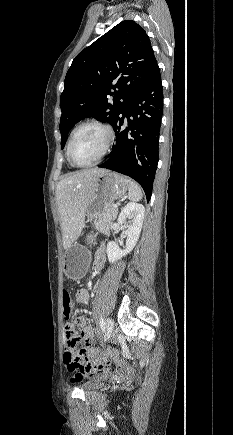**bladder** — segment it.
Returning a JSON list of instances; mask_svg holds the SVG:
<instances>
[{
  "instance_id": "1",
  "label": "bladder",
  "mask_w": 233,
  "mask_h": 435,
  "mask_svg": "<svg viewBox=\"0 0 233 435\" xmlns=\"http://www.w3.org/2000/svg\"><path fill=\"white\" fill-rule=\"evenodd\" d=\"M91 377L93 378V382L84 385V390L97 389L100 386V381L106 378L104 375L101 374H93L91 375Z\"/></svg>"
}]
</instances>
